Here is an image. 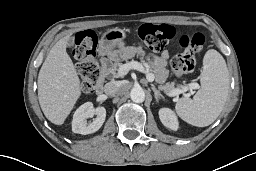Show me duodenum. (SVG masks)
Listing matches in <instances>:
<instances>
[{
	"label": "duodenum",
	"mask_w": 256,
	"mask_h": 171,
	"mask_svg": "<svg viewBox=\"0 0 256 171\" xmlns=\"http://www.w3.org/2000/svg\"><path fill=\"white\" fill-rule=\"evenodd\" d=\"M111 62L107 58H101L99 61L100 67V78L96 84L95 90L98 95L102 94L104 91V83L106 79V72L110 66Z\"/></svg>",
	"instance_id": "1"
}]
</instances>
